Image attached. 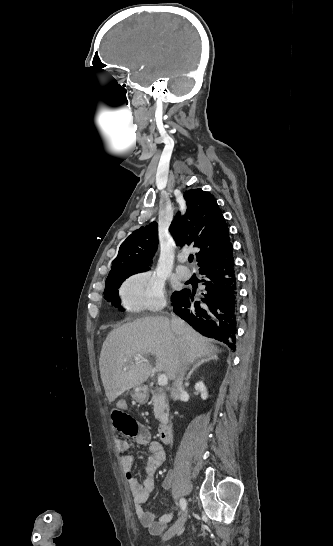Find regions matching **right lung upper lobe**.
I'll return each instance as SVG.
<instances>
[{"mask_svg":"<svg viewBox=\"0 0 333 546\" xmlns=\"http://www.w3.org/2000/svg\"><path fill=\"white\" fill-rule=\"evenodd\" d=\"M187 211L184 216L177 213L169 231L178 246L200 248L196 253L198 266L209 263L224 251L230 243L228 226L215 198L202 189L185 192ZM158 246L157 223L134 231L121 244L112 270H148L151 258Z\"/></svg>","mask_w":333,"mask_h":546,"instance_id":"cb5924a9","label":"right lung upper lobe"}]
</instances>
